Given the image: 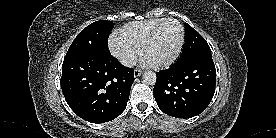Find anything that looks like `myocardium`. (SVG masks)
<instances>
[{"instance_id":"f54148a6","label":"myocardium","mask_w":276,"mask_h":138,"mask_svg":"<svg viewBox=\"0 0 276 138\" xmlns=\"http://www.w3.org/2000/svg\"><path fill=\"white\" fill-rule=\"evenodd\" d=\"M166 22H174L178 25L180 32H181V38H180L178 48H177L176 52L174 53V55L169 60H167L165 62L158 63V64H152L155 68H167L170 65H172L180 56V54L183 50L184 44H185V29H184V26L182 25V23L179 20H177L176 18H171V17L164 18L152 29V31L148 35L146 41L144 42V44L142 46V55L145 57V54H146L147 50L149 49V47L152 45L158 30Z\"/></svg>"}]
</instances>
